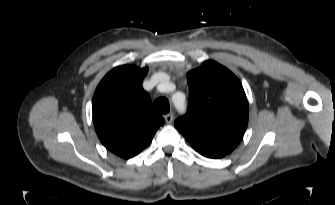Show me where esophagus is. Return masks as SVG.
I'll return each instance as SVG.
<instances>
[{"mask_svg": "<svg viewBox=\"0 0 335 205\" xmlns=\"http://www.w3.org/2000/svg\"><path fill=\"white\" fill-rule=\"evenodd\" d=\"M164 119H165V122H166L167 124L172 123V121H173V119H174V115H173V113H168V114H166V115L164 116Z\"/></svg>", "mask_w": 335, "mask_h": 205, "instance_id": "1", "label": "esophagus"}]
</instances>
